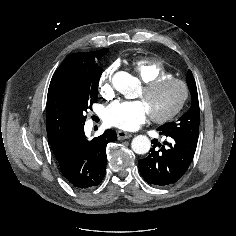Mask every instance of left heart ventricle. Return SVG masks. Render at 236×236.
Returning a JSON list of instances; mask_svg holds the SVG:
<instances>
[{
	"label": "left heart ventricle",
	"mask_w": 236,
	"mask_h": 236,
	"mask_svg": "<svg viewBox=\"0 0 236 236\" xmlns=\"http://www.w3.org/2000/svg\"><path fill=\"white\" fill-rule=\"evenodd\" d=\"M181 93L180 86L169 84L150 95H145L142 90L140 98L146 105L149 113L162 115L168 112L178 102Z\"/></svg>",
	"instance_id": "1"
}]
</instances>
